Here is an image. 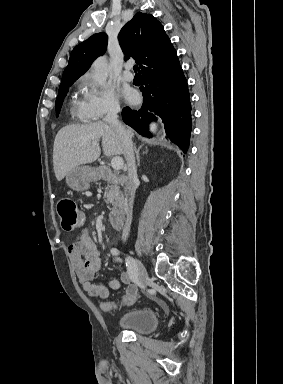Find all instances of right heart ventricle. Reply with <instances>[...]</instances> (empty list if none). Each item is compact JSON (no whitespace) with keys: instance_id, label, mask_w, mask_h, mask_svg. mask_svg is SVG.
<instances>
[{"instance_id":"1","label":"right heart ventricle","mask_w":283,"mask_h":384,"mask_svg":"<svg viewBox=\"0 0 283 384\" xmlns=\"http://www.w3.org/2000/svg\"><path fill=\"white\" fill-rule=\"evenodd\" d=\"M83 101L79 100L76 95H73L69 100L70 114L74 119H82Z\"/></svg>"}]
</instances>
